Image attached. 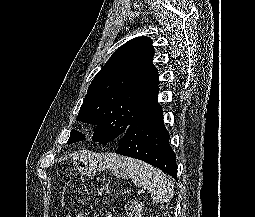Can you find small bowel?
<instances>
[{
  "label": "small bowel",
  "instance_id": "c3829d8e",
  "mask_svg": "<svg viewBox=\"0 0 255 217\" xmlns=\"http://www.w3.org/2000/svg\"><path fill=\"white\" fill-rule=\"evenodd\" d=\"M76 217H89V215L86 212H79Z\"/></svg>",
  "mask_w": 255,
  "mask_h": 217
}]
</instances>
